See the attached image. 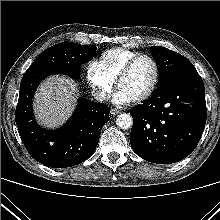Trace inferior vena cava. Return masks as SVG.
I'll use <instances>...</instances> for the list:
<instances>
[{
    "label": "inferior vena cava",
    "mask_w": 220,
    "mask_h": 220,
    "mask_svg": "<svg viewBox=\"0 0 220 220\" xmlns=\"http://www.w3.org/2000/svg\"><path fill=\"white\" fill-rule=\"evenodd\" d=\"M92 95H93L94 99L99 102L106 100V93L104 90H97V91L94 90Z\"/></svg>",
    "instance_id": "obj_1"
}]
</instances>
